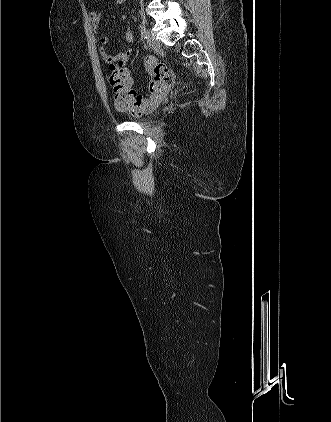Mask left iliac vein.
I'll return each mask as SVG.
<instances>
[{
    "mask_svg": "<svg viewBox=\"0 0 331 422\" xmlns=\"http://www.w3.org/2000/svg\"><path fill=\"white\" fill-rule=\"evenodd\" d=\"M146 43L150 48L155 49V50L160 47L159 42L153 37V35L150 32H147L146 34Z\"/></svg>",
    "mask_w": 331,
    "mask_h": 422,
    "instance_id": "4c4485c4",
    "label": "left iliac vein"
}]
</instances>
